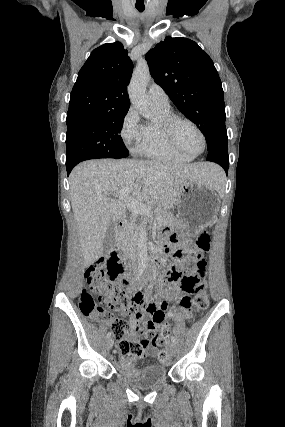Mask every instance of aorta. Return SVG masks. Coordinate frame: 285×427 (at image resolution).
Segmentation results:
<instances>
[{"mask_svg":"<svg viewBox=\"0 0 285 427\" xmlns=\"http://www.w3.org/2000/svg\"><path fill=\"white\" fill-rule=\"evenodd\" d=\"M151 78L149 67L146 63H139L135 68L130 84L128 94L131 103L146 118H150L152 113L149 108V97L146 93V86ZM147 232L141 228L138 238V263L139 267L144 269L147 266Z\"/></svg>","mask_w":285,"mask_h":427,"instance_id":"aorta-1","label":"aorta"}]
</instances>
